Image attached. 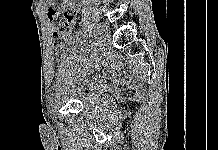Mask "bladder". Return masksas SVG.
<instances>
[{
    "label": "bladder",
    "mask_w": 218,
    "mask_h": 150,
    "mask_svg": "<svg viewBox=\"0 0 218 150\" xmlns=\"http://www.w3.org/2000/svg\"><path fill=\"white\" fill-rule=\"evenodd\" d=\"M72 62L65 61L63 67L56 75V86L60 94L65 97L82 101L84 104L89 102V91L85 80L79 76L75 67H72Z\"/></svg>",
    "instance_id": "1"
}]
</instances>
